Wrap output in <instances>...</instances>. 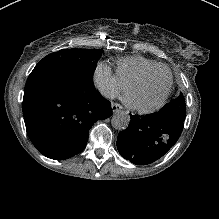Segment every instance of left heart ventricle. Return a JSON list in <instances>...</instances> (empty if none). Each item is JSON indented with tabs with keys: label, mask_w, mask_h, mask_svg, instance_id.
<instances>
[{
	"label": "left heart ventricle",
	"mask_w": 219,
	"mask_h": 219,
	"mask_svg": "<svg viewBox=\"0 0 219 219\" xmlns=\"http://www.w3.org/2000/svg\"><path fill=\"white\" fill-rule=\"evenodd\" d=\"M169 80L168 71L161 70L157 75L135 86L131 98L135 103L151 105L161 98L168 87Z\"/></svg>",
	"instance_id": "left-heart-ventricle-1"
}]
</instances>
